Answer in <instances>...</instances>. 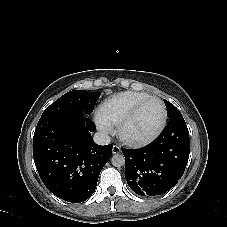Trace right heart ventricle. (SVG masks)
Wrapping results in <instances>:
<instances>
[{"instance_id":"obj_1","label":"right heart ventricle","mask_w":227,"mask_h":227,"mask_svg":"<svg viewBox=\"0 0 227 227\" xmlns=\"http://www.w3.org/2000/svg\"><path fill=\"white\" fill-rule=\"evenodd\" d=\"M150 97L144 92H122L106 99L98 109V116L110 124L117 125L140 102Z\"/></svg>"}]
</instances>
